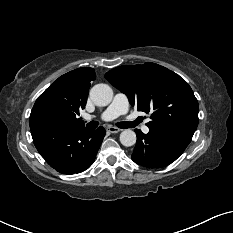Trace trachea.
Returning <instances> with one entry per match:
<instances>
[{
    "label": "trachea",
    "mask_w": 233,
    "mask_h": 233,
    "mask_svg": "<svg viewBox=\"0 0 233 233\" xmlns=\"http://www.w3.org/2000/svg\"><path fill=\"white\" fill-rule=\"evenodd\" d=\"M139 121L140 120L138 119V120H136L134 122H120V123H118V127H120V128H133L138 124ZM97 126H98L97 121H90L86 125V127L89 128V129H95V128H97Z\"/></svg>",
    "instance_id": "3493384b"
}]
</instances>
